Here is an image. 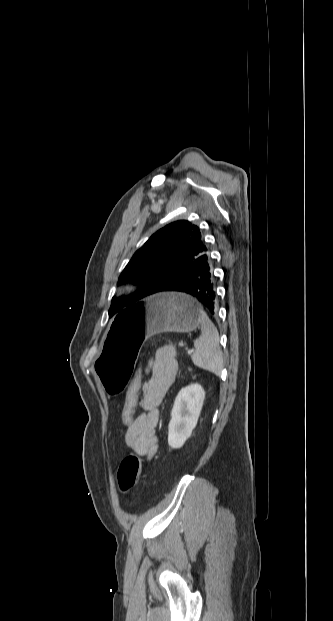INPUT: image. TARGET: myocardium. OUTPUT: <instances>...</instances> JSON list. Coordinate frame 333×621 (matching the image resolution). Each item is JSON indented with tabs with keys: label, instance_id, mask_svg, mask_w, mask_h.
Segmentation results:
<instances>
[{
	"label": "myocardium",
	"instance_id": "myocardium-1",
	"mask_svg": "<svg viewBox=\"0 0 333 621\" xmlns=\"http://www.w3.org/2000/svg\"><path fill=\"white\" fill-rule=\"evenodd\" d=\"M137 286L134 284H126L122 287V293L125 295L132 294L137 291Z\"/></svg>",
	"mask_w": 333,
	"mask_h": 621
}]
</instances>
